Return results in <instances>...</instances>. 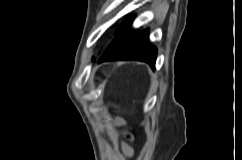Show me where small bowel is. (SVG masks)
<instances>
[{
  "instance_id": "obj_1",
  "label": "small bowel",
  "mask_w": 242,
  "mask_h": 160,
  "mask_svg": "<svg viewBox=\"0 0 242 160\" xmlns=\"http://www.w3.org/2000/svg\"><path fill=\"white\" fill-rule=\"evenodd\" d=\"M126 151H130V149L129 148H126Z\"/></svg>"
}]
</instances>
